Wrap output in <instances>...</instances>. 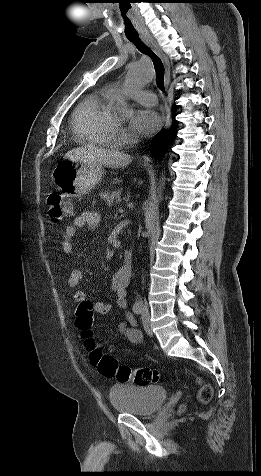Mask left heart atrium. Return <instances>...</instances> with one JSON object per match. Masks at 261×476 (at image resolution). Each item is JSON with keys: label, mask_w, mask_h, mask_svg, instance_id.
<instances>
[{"label": "left heart atrium", "mask_w": 261, "mask_h": 476, "mask_svg": "<svg viewBox=\"0 0 261 476\" xmlns=\"http://www.w3.org/2000/svg\"><path fill=\"white\" fill-rule=\"evenodd\" d=\"M130 123L132 128L139 133L150 134L160 126L161 119L154 110L139 109L133 114Z\"/></svg>", "instance_id": "39dd6f15"}]
</instances>
